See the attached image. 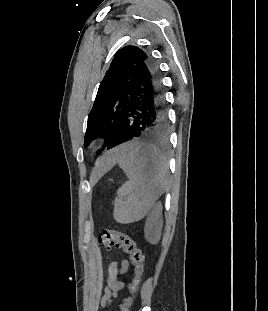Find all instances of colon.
Listing matches in <instances>:
<instances>
[{"mask_svg":"<svg viewBox=\"0 0 268 311\" xmlns=\"http://www.w3.org/2000/svg\"><path fill=\"white\" fill-rule=\"evenodd\" d=\"M98 242L105 249L110 250L112 247L121 248L128 254L132 265L134 266V275L128 286V296L123 300L120 310L129 311L133 303V298L139 289L144 272V257L136 242L126 233L105 229L98 237Z\"/></svg>","mask_w":268,"mask_h":311,"instance_id":"obj_1","label":"colon"}]
</instances>
